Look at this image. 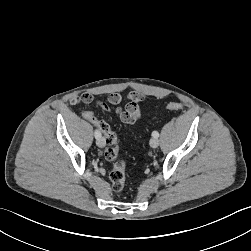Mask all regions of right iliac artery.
Here are the masks:
<instances>
[{
    "label": "right iliac artery",
    "instance_id": "right-iliac-artery-1",
    "mask_svg": "<svg viewBox=\"0 0 251 251\" xmlns=\"http://www.w3.org/2000/svg\"><path fill=\"white\" fill-rule=\"evenodd\" d=\"M94 135H95L96 138L101 137V133H100L99 130H95Z\"/></svg>",
    "mask_w": 251,
    "mask_h": 251
}]
</instances>
